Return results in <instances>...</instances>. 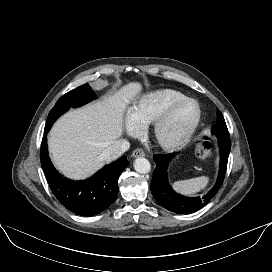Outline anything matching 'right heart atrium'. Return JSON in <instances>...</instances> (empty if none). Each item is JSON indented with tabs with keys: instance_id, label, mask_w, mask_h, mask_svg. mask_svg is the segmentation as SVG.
Instances as JSON below:
<instances>
[{
	"instance_id": "obj_1",
	"label": "right heart atrium",
	"mask_w": 272,
	"mask_h": 272,
	"mask_svg": "<svg viewBox=\"0 0 272 272\" xmlns=\"http://www.w3.org/2000/svg\"><path fill=\"white\" fill-rule=\"evenodd\" d=\"M127 130L129 132V134H131V135H136L139 132V130L132 124L130 119L127 122Z\"/></svg>"
}]
</instances>
